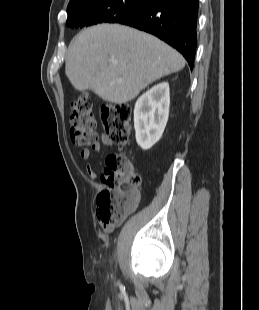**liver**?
I'll list each match as a JSON object with an SVG mask.
<instances>
[{
    "instance_id": "liver-1",
    "label": "liver",
    "mask_w": 259,
    "mask_h": 310,
    "mask_svg": "<svg viewBox=\"0 0 259 310\" xmlns=\"http://www.w3.org/2000/svg\"><path fill=\"white\" fill-rule=\"evenodd\" d=\"M184 66L183 56L153 35L119 24H100L82 30L71 41L65 73L76 90H91L104 101L123 104Z\"/></svg>"
}]
</instances>
